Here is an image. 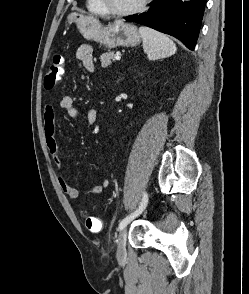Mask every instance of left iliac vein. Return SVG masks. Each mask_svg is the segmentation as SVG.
Returning a JSON list of instances; mask_svg holds the SVG:
<instances>
[{"label": "left iliac vein", "mask_w": 249, "mask_h": 294, "mask_svg": "<svg viewBox=\"0 0 249 294\" xmlns=\"http://www.w3.org/2000/svg\"><path fill=\"white\" fill-rule=\"evenodd\" d=\"M126 238L127 230L121 229L117 239V259L123 261L126 258Z\"/></svg>", "instance_id": "1"}]
</instances>
